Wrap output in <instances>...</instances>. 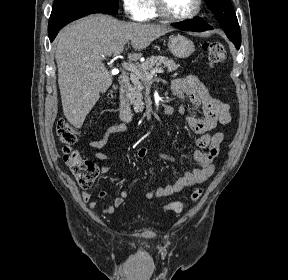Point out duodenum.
I'll return each instance as SVG.
<instances>
[{
	"label": "duodenum",
	"mask_w": 288,
	"mask_h": 280,
	"mask_svg": "<svg viewBox=\"0 0 288 280\" xmlns=\"http://www.w3.org/2000/svg\"><path fill=\"white\" fill-rule=\"evenodd\" d=\"M119 84H120V97H119L120 116L124 122H129L132 119V113L128 99V91L130 88L129 76L125 73L122 74L119 77Z\"/></svg>",
	"instance_id": "1"
}]
</instances>
